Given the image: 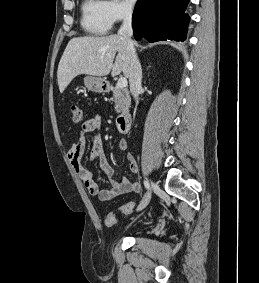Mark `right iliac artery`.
Here are the masks:
<instances>
[{"mask_svg": "<svg viewBox=\"0 0 259 283\" xmlns=\"http://www.w3.org/2000/svg\"><path fill=\"white\" fill-rule=\"evenodd\" d=\"M144 186H145V188H146V189H148V190H149L150 185H149L148 181H144Z\"/></svg>", "mask_w": 259, "mask_h": 283, "instance_id": "82829eb1", "label": "right iliac artery"}]
</instances>
